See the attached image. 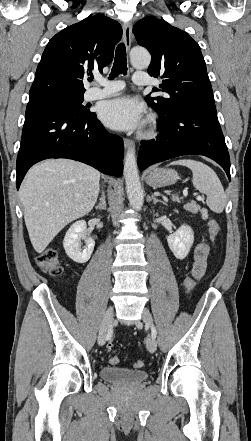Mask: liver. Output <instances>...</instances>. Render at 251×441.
<instances>
[{
	"label": "liver",
	"mask_w": 251,
	"mask_h": 441,
	"mask_svg": "<svg viewBox=\"0 0 251 441\" xmlns=\"http://www.w3.org/2000/svg\"><path fill=\"white\" fill-rule=\"evenodd\" d=\"M99 181L98 170L69 159L46 160L28 171L20 188V201L37 253H42L68 223L93 209Z\"/></svg>",
	"instance_id": "1"
}]
</instances>
